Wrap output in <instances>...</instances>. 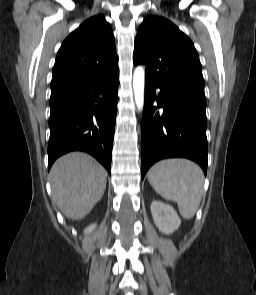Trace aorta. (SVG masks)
Returning <instances> with one entry per match:
<instances>
[{
    "mask_svg": "<svg viewBox=\"0 0 256 295\" xmlns=\"http://www.w3.org/2000/svg\"><path fill=\"white\" fill-rule=\"evenodd\" d=\"M144 83H145V70L142 66L136 67L133 74V90L134 99L138 111H142L144 106Z\"/></svg>",
    "mask_w": 256,
    "mask_h": 295,
    "instance_id": "1",
    "label": "aorta"
}]
</instances>
